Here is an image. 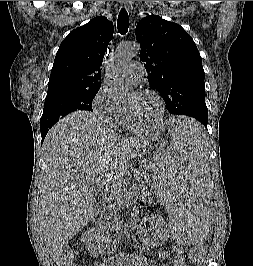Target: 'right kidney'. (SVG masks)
<instances>
[{
    "label": "right kidney",
    "instance_id": "ca27d5eb",
    "mask_svg": "<svg viewBox=\"0 0 253 266\" xmlns=\"http://www.w3.org/2000/svg\"><path fill=\"white\" fill-rule=\"evenodd\" d=\"M88 252L93 256H101L106 250L104 233L100 229H89L81 236Z\"/></svg>",
    "mask_w": 253,
    "mask_h": 266
}]
</instances>
